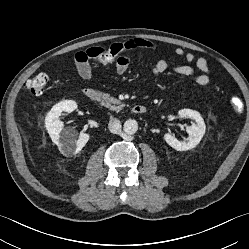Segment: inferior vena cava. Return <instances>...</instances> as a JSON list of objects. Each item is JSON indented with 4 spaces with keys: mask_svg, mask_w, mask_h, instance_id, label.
<instances>
[{
    "mask_svg": "<svg viewBox=\"0 0 249 249\" xmlns=\"http://www.w3.org/2000/svg\"><path fill=\"white\" fill-rule=\"evenodd\" d=\"M108 128L111 133L117 134L121 131V122L118 119L113 118L109 121Z\"/></svg>",
    "mask_w": 249,
    "mask_h": 249,
    "instance_id": "602c4592",
    "label": "inferior vena cava"
}]
</instances>
